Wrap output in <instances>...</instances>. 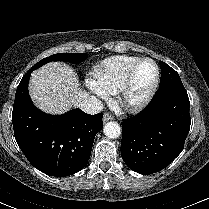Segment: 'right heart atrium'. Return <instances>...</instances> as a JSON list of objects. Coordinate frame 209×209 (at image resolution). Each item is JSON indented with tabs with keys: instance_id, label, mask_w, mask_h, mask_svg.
<instances>
[{
	"instance_id": "d8ad5b80",
	"label": "right heart atrium",
	"mask_w": 209,
	"mask_h": 209,
	"mask_svg": "<svg viewBox=\"0 0 209 209\" xmlns=\"http://www.w3.org/2000/svg\"><path fill=\"white\" fill-rule=\"evenodd\" d=\"M88 89L97 97L106 99L107 93L93 80H88L86 82Z\"/></svg>"
}]
</instances>
